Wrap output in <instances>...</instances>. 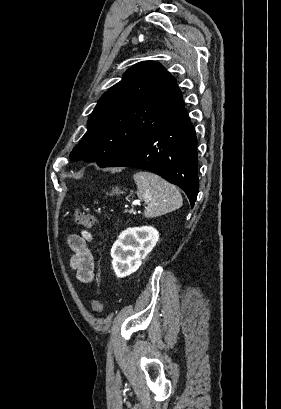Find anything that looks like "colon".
<instances>
[{
	"instance_id": "colon-1",
	"label": "colon",
	"mask_w": 281,
	"mask_h": 409,
	"mask_svg": "<svg viewBox=\"0 0 281 409\" xmlns=\"http://www.w3.org/2000/svg\"><path fill=\"white\" fill-rule=\"evenodd\" d=\"M76 221L83 224L86 227H91L95 223V218L93 215L76 209L72 213ZM104 311V304L101 296H97L93 301V312L97 317H100Z\"/></svg>"
}]
</instances>
